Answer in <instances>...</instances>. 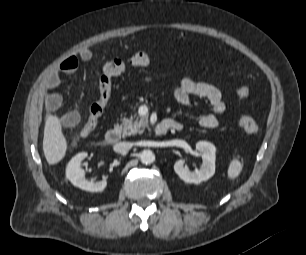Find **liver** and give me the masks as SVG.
Masks as SVG:
<instances>
[{"mask_svg":"<svg viewBox=\"0 0 306 255\" xmlns=\"http://www.w3.org/2000/svg\"><path fill=\"white\" fill-rule=\"evenodd\" d=\"M68 143L62 132L60 120L55 115L46 119L43 138V152L47 162L54 165L66 155Z\"/></svg>","mask_w":306,"mask_h":255,"instance_id":"6515ba94","label":"liver"}]
</instances>
